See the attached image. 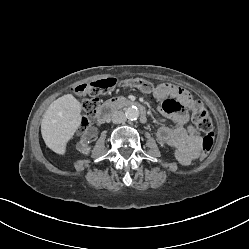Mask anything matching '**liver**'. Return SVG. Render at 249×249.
<instances>
[{"label":"liver","mask_w":249,"mask_h":249,"mask_svg":"<svg viewBox=\"0 0 249 249\" xmlns=\"http://www.w3.org/2000/svg\"><path fill=\"white\" fill-rule=\"evenodd\" d=\"M81 124V104L67 94L53 101L41 122L42 138L48 148L65 155L67 143Z\"/></svg>","instance_id":"1"}]
</instances>
